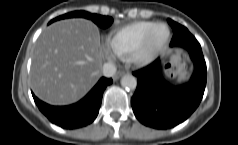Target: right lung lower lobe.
<instances>
[{
    "label": "right lung lower lobe",
    "mask_w": 238,
    "mask_h": 145,
    "mask_svg": "<svg viewBox=\"0 0 238 145\" xmlns=\"http://www.w3.org/2000/svg\"><path fill=\"white\" fill-rule=\"evenodd\" d=\"M112 79L102 77L79 102L68 106H51L33 95L39 110L50 122L65 129H76L92 123L98 115L105 88Z\"/></svg>",
    "instance_id": "right-lung-lower-lobe-1"
}]
</instances>
